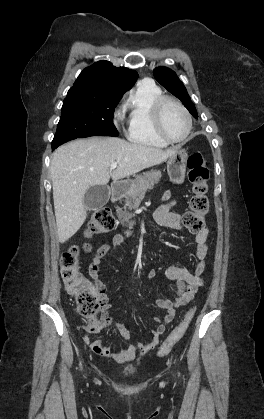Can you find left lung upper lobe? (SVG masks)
I'll return each instance as SVG.
<instances>
[{"label": "left lung upper lobe", "mask_w": 264, "mask_h": 419, "mask_svg": "<svg viewBox=\"0 0 264 419\" xmlns=\"http://www.w3.org/2000/svg\"><path fill=\"white\" fill-rule=\"evenodd\" d=\"M153 72L156 80L170 93L180 99L194 118H198L194 103L191 101L185 86L176 76L175 72L166 67L155 68Z\"/></svg>", "instance_id": "obj_1"}]
</instances>
